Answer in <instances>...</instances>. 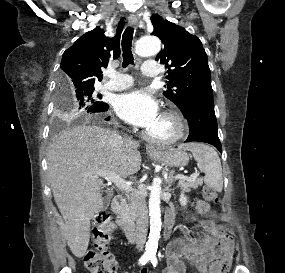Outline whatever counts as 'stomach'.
Masks as SVG:
<instances>
[{
  "label": "stomach",
  "mask_w": 285,
  "mask_h": 273,
  "mask_svg": "<svg viewBox=\"0 0 285 273\" xmlns=\"http://www.w3.org/2000/svg\"><path fill=\"white\" fill-rule=\"evenodd\" d=\"M150 156L156 161L173 167L185 166L189 162V156L182 148L161 150L156 154H150Z\"/></svg>",
  "instance_id": "1"
}]
</instances>
